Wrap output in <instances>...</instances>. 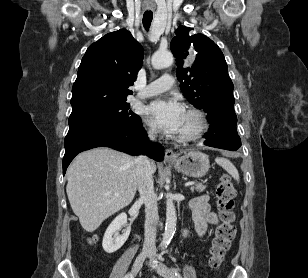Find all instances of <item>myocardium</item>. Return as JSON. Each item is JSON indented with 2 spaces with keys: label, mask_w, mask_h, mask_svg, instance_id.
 <instances>
[{
  "label": "myocardium",
  "mask_w": 308,
  "mask_h": 278,
  "mask_svg": "<svg viewBox=\"0 0 308 278\" xmlns=\"http://www.w3.org/2000/svg\"><path fill=\"white\" fill-rule=\"evenodd\" d=\"M186 112L191 114L196 120V126L193 130L185 133H179L177 138L180 141H194L201 138L208 128V120L205 113L199 108L188 106Z\"/></svg>",
  "instance_id": "f54148a6"
}]
</instances>
